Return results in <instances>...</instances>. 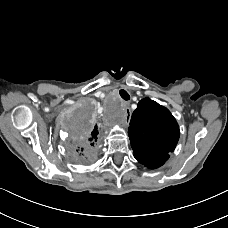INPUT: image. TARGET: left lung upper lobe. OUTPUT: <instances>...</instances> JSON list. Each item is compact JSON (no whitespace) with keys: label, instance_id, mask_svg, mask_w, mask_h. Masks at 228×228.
Segmentation results:
<instances>
[{"label":"left lung upper lobe","instance_id":"left-lung-upper-lobe-1","mask_svg":"<svg viewBox=\"0 0 228 228\" xmlns=\"http://www.w3.org/2000/svg\"><path fill=\"white\" fill-rule=\"evenodd\" d=\"M128 134L134 157L144 166L154 169L168 160L177 145L180 131L167 108L144 98L131 116Z\"/></svg>","mask_w":228,"mask_h":228}]
</instances>
